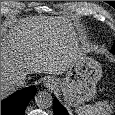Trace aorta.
Wrapping results in <instances>:
<instances>
[{
    "label": "aorta",
    "instance_id": "obj_1",
    "mask_svg": "<svg viewBox=\"0 0 115 115\" xmlns=\"http://www.w3.org/2000/svg\"><path fill=\"white\" fill-rule=\"evenodd\" d=\"M53 103L52 95L46 91H41L35 96V104L42 109L50 107Z\"/></svg>",
    "mask_w": 115,
    "mask_h": 115
}]
</instances>
